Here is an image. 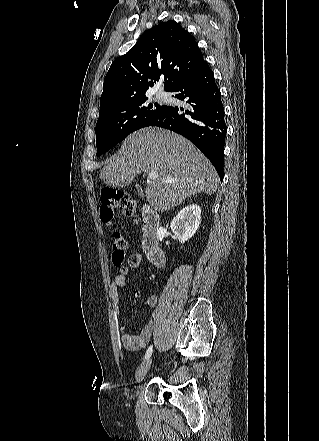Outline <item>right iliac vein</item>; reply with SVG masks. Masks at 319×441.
Here are the masks:
<instances>
[{
  "instance_id": "obj_1",
  "label": "right iliac vein",
  "mask_w": 319,
  "mask_h": 441,
  "mask_svg": "<svg viewBox=\"0 0 319 441\" xmlns=\"http://www.w3.org/2000/svg\"><path fill=\"white\" fill-rule=\"evenodd\" d=\"M150 366H151V359H148L138 367V369L136 370L137 383H140L144 379L145 375L150 369Z\"/></svg>"
}]
</instances>
